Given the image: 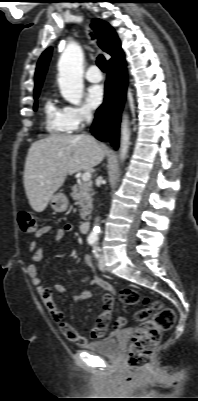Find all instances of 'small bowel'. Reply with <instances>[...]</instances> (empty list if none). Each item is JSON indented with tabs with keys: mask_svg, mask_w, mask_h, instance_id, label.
<instances>
[{
	"mask_svg": "<svg viewBox=\"0 0 198 401\" xmlns=\"http://www.w3.org/2000/svg\"><path fill=\"white\" fill-rule=\"evenodd\" d=\"M73 229L74 227L71 224H66L63 227H57L54 225H45L40 227L36 233L35 239L29 244V251L32 259L34 261H40L42 259V250L38 247V240H40L44 235L52 232L55 240L60 242L67 234L71 233ZM84 262L88 266L92 267V261L88 255L84 256ZM26 270L32 284L36 287L37 292L41 296L44 304L47 306L52 319L55 322L60 323V330L65 338L79 345H85L90 339L96 340L105 335L114 306V299L112 296L113 287L110 283L97 275L81 277L78 281L80 286L90 285L91 287H100L107 291V293L102 297V313L99 315L96 324L92 327L90 335L85 336L80 334L75 327L63 322V313L55 305L53 292L50 289L43 287L42 280L38 275L36 266L34 264H30L27 266ZM55 290L60 294L66 293L65 286L60 283L55 285ZM91 294L92 292L90 289L83 290L74 295L73 299L76 302H82L88 300L91 297Z\"/></svg>",
	"mask_w": 198,
	"mask_h": 401,
	"instance_id": "obj_1",
	"label": "small bowel"
}]
</instances>
